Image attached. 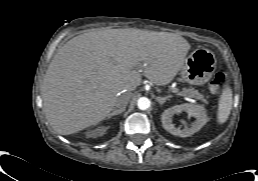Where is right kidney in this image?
<instances>
[{"label": "right kidney", "instance_id": "right-kidney-1", "mask_svg": "<svg viewBox=\"0 0 258 181\" xmlns=\"http://www.w3.org/2000/svg\"><path fill=\"white\" fill-rule=\"evenodd\" d=\"M107 131L106 127H99L87 133L89 137L102 136Z\"/></svg>", "mask_w": 258, "mask_h": 181}]
</instances>
